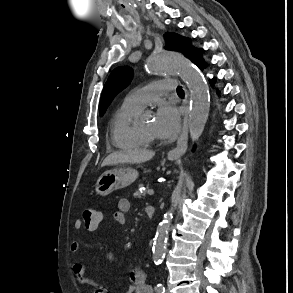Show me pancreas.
Segmentation results:
<instances>
[{"label":"pancreas","instance_id":"1","mask_svg":"<svg viewBox=\"0 0 293 293\" xmlns=\"http://www.w3.org/2000/svg\"><path fill=\"white\" fill-rule=\"evenodd\" d=\"M145 196H146V193H145V192L141 193V192H139V191H136V192L134 193V197H135V198H142V197H145Z\"/></svg>","mask_w":293,"mask_h":293}]
</instances>
